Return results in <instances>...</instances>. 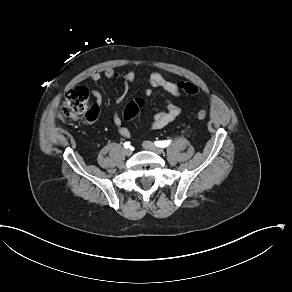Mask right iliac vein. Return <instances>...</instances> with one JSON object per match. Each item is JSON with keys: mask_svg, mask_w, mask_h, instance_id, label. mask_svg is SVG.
Wrapping results in <instances>:
<instances>
[{"mask_svg": "<svg viewBox=\"0 0 292 292\" xmlns=\"http://www.w3.org/2000/svg\"><path fill=\"white\" fill-rule=\"evenodd\" d=\"M124 152H125V154L127 156H131L132 155V150L131 149H126Z\"/></svg>", "mask_w": 292, "mask_h": 292, "instance_id": "right-iliac-vein-1", "label": "right iliac vein"}]
</instances>
